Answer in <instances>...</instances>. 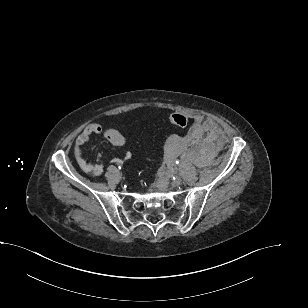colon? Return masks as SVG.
<instances>
[{
	"label": "colon",
	"mask_w": 308,
	"mask_h": 308,
	"mask_svg": "<svg viewBox=\"0 0 308 308\" xmlns=\"http://www.w3.org/2000/svg\"><path fill=\"white\" fill-rule=\"evenodd\" d=\"M188 119L181 113H173L170 115V123L177 127H184L187 125Z\"/></svg>",
	"instance_id": "colon-1"
}]
</instances>
